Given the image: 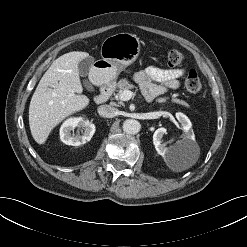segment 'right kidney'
<instances>
[{"instance_id": "right-kidney-1", "label": "right kidney", "mask_w": 247, "mask_h": 247, "mask_svg": "<svg viewBox=\"0 0 247 247\" xmlns=\"http://www.w3.org/2000/svg\"><path fill=\"white\" fill-rule=\"evenodd\" d=\"M82 131V135L72 134L75 128ZM95 133V125L82 117H71L67 119L60 128V139L66 145L79 146L90 141Z\"/></svg>"}]
</instances>
